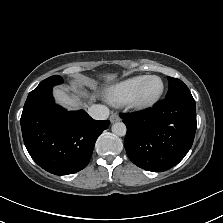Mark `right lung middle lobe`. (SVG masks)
I'll list each match as a JSON object with an SVG mask.
<instances>
[{
  "label": "right lung middle lobe",
  "mask_w": 223,
  "mask_h": 223,
  "mask_svg": "<svg viewBox=\"0 0 223 223\" xmlns=\"http://www.w3.org/2000/svg\"><path fill=\"white\" fill-rule=\"evenodd\" d=\"M62 82H63V80H62L61 76H59V75H54V76L48 77L47 79L41 81L40 84L33 91H31L28 96L34 95L37 93H41V92H43L49 88H52L53 86L60 84Z\"/></svg>",
  "instance_id": "obj_1"
}]
</instances>
